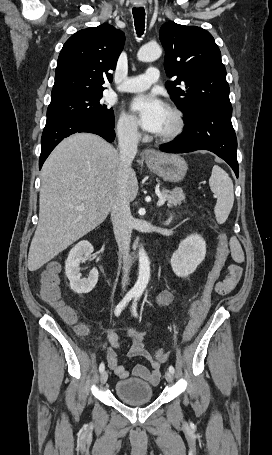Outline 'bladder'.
Masks as SVG:
<instances>
[{"label": "bladder", "mask_w": 272, "mask_h": 455, "mask_svg": "<svg viewBox=\"0 0 272 455\" xmlns=\"http://www.w3.org/2000/svg\"><path fill=\"white\" fill-rule=\"evenodd\" d=\"M115 394L123 402L130 405H142L153 399L152 386L137 378H127L115 384Z\"/></svg>", "instance_id": "obj_1"}]
</instances>
